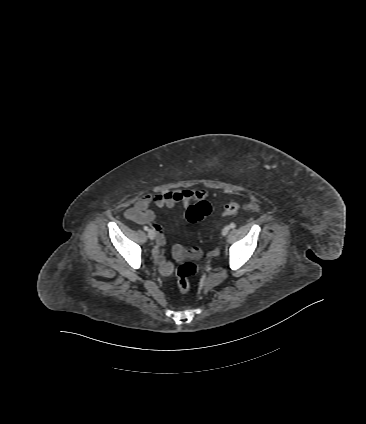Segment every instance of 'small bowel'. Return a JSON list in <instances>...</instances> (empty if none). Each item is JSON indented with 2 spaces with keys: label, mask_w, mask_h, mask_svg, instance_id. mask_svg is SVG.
<instances>
[{
  "label": "small bowel",
  "mask_w": 366,
  "mask_h": 424,
  "mask_svg": "<svg viewBox=\"0 0 366 424\" xmlns=\"http://www.w3.org/2000/svg\"><path fill=\"white\" fill-rule=\"evenodd\" d=\"M207 195L208 192L205 189L196 188L160 191L155 195L144 194L140 196L133 207L126 210L125 217L127 220L134 221L139 224L151 223L157 236L156 247L154 248L153 254L164 273L167 274L171 271L170 263L167 262L163 256V248L166 244V238L162 227L157 223H153L155 213L149 208L150 204L153 202L158 208H172L177 204H182L186 207L193 202L203 200L207 197ZM174 252L176 254H181L183 252V248L180 245H176L174 247Z\"/></svg>",
  "instance_id": "small-bowel-1"
}]
</instances>
